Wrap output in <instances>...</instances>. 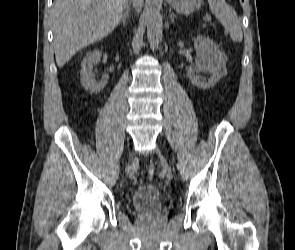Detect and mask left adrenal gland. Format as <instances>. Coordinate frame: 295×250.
<instances>
[{"mask_svg": "<svg viewBox=\"0 0 295 250\" xmlns=\"http://www.w3.org/2000/svg\"><path fill=\"white\" fill-rule=\"evenodd\" d=\"M176 18V16L171 12L170 10V20H171V23L174 22V19Z\"/></svg>", "mask_w": 295, "mask_h": 250, "instance_id": "left-adrenal-gland-1", "label": "left adrenal gland"}]
</instances>
